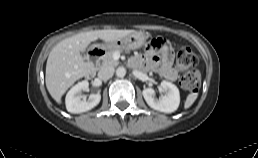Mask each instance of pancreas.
<instances>
[{
  "instance_id": "1",
  "label": "pancreas",
  "mask_w": 258,
  "mask_h": 158,
  "mask_svg": "<svg viewBox=\"0 0 258 158\" xmlns=\"http://www.w3.org/2000/svg\"><path fill=\"white\" fill-rule=\"evenodd\" d=\"M123 49H120V48H112V49H109L105 55L102 57V65L103 66H117L119 64V61L115 60L113 58V54L115 52H121Z\"/></svg>"
}]
</instances>
